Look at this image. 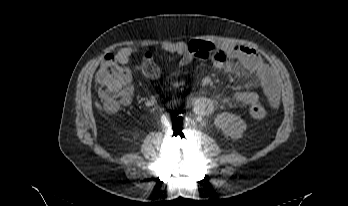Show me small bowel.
Masks as SVG:
<instances>
[{
    "label": "small bowel",
    "mask_w": 348,
    "mask_h": 206,
    "mask_svg": "<svg viewBox=\"0 0 348 206\" xmlns=\"http://www.w3.org/2000/svg\"><path fill=\"white\" fill-rule=\"evenodd\" d=\"M158 48L162 51L176 54L180 57V64L187 66L194 60L212 62L217 68L230 71L232 64L238 62L244 69L253 73L269 99L272 108L276 109L280 102V88L274 71L261 59L252 48L245 45L218 46L211 42L192 40L185 42H164ZM129 51H122L118 59L122 63L128 62ZM148 85L157 86L158 78L144 77ZM259 100V95L253 91H237L230 99L235 106L251 105Z\"/></svg>",
    "instance_id": "1"
}]
</instances>
